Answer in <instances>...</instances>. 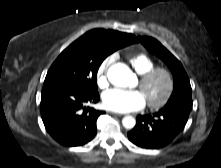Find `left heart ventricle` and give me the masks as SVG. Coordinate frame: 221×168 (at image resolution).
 Segmentation results:
<instances>
[{
	"instance_id": "1",
	"label": "left heart ventricle",
	"mask_w": 221,
	"mask_h": 168,
	"mask_svg": "<svg viewBox=\"0 0 221 168\" xmlns=\"http://www.w3.org/2000/svg\"><path fill=\"white\" fill-rule=\"evenodd\" d=\"M139 88L146 101H158L165 93L166 80L162 75H158L145 86H140L139 83Z\"/></svg>"
}]
</instances>
